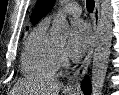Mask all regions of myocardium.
Wrapping results in <instances>:
<instances>
[{
    "label": "myocardium",
    "mask_w": 119,
    "mask_h": 95,
    "mask_svg": "<svg viewBox=\"0 0 119 95\" xmlns=\"http://www.w3.org/2000/svg\"><path fill=\"white\" fill-rule=\"evenodd\" d=\"M57 54H58V59L57 61L63 65H65L67 63V59L65 58V56L63 55V51H62V46L58 45L57 47Z\"/></svg>",
    "instance_id": "1"
}]
</instances>
